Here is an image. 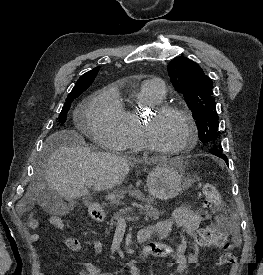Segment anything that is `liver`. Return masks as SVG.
<instances>
[{"label": "liver", "instance_id": "obj_1", "mask_svg": "<svg viewBox=\"0 0 263 275\" xmlns=\"http://www.w3.org/2000/svg\"><path fill=\"white\" fill-rule=\"evenodd\" d=\"M81 140L76 131L62 130L47 141L52 151L47 159L45 181L50 189L67 200L86 196L89 193L86 188L88 183L94 185L95 191L112 189L130 171L126 159L107 152H92L81 146ZM115 198V193L107 195V199ZM33 200L34 190L29 187L21 203Z\"/></svg>", "mask_w": 263, "mask_h": 275}]
</instances>
